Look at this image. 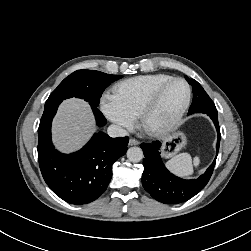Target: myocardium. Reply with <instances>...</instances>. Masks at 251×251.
Here are the masks:
<instances>
[{"label":"myocardium","instance_id":"obj_1","mask_svg":"<svg viewBox=\"0 0 251 251\" xmlns=\"http://www.w3.org/2000/svg\"><path fill=\"white\" fill-rule=\"evenodd\" d=\"M183 82L187 88V98L182 106V108L178 111V113L166 124L159 126V127H152L149 125L148 120L152 112L157 106V103L159 101V98L162 94V92L165 90L167 86H169L173 82ZM192 99V88L189 84V82L182 78V77H172L169 80L163 82L161 85H159L150 95V97L147 99L146 103L142 107L140 113H139V124L142 130L150 135V136H162L164 134L169 133L172 131L182 120L183 116L185 115L186 111L188 110L190 103Z\"/></svg>","mask_w":251,"mask_h":251}]
</instances>
